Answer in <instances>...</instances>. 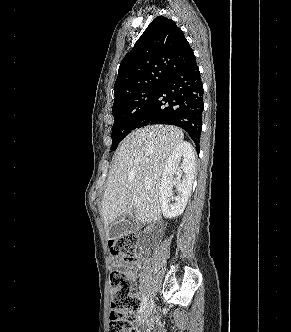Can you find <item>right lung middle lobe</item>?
Masks as SVG:
<instances>
[{"mask_svg":"<svg viewBox=\"0 0 291 332\" xmlns=\"http://www.w3.org/2000/svg\"><path fill=\"white\" fill-rule=\"evenodd\" d=\"M161 83H153L115 100L112 108L114 125L111 151L115 150L120 141L135 129L137 121L156 95Z\"/></svg>","mask_w":291,"mask_h":332,"instance_id":"right-lung-middle-lobe-1","label":"right lung middle lobe"}]
</instances>
